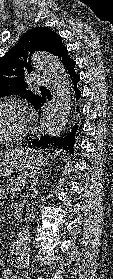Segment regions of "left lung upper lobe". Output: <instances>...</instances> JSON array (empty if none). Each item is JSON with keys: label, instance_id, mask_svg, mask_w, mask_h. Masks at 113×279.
<instances>
[{"label": "left lung upper lobe", "instance_id": "left-lung-upper-lobe-1", "mask_svg": "<svg viewBox=\"0 0 113 279\" xmlns=\"http://www.w3.org/2000/svg\"><path fill=\"white\" fill-rule=\"evenodd\" d=\"M35 51H46L63 58L67 49L61 36L47 27L27 31L18 43L0 59V97L20 94L35 106L42 97L26 90L25 75L31 73V56Z\"/></svg>", "mask_w": 113, "mask_h": 279}]
</instances>
